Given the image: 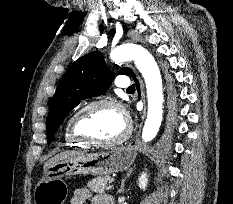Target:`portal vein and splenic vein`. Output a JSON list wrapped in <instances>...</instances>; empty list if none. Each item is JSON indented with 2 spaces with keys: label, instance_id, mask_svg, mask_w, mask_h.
Returning a JSON list of instances; mask_svg holds the SVG:
<instances>
[{
  "label": "portal vein and splenic vein",
  "instance_id": "obj_1",
  "mask_svg": "<svg viewBox=\"0 0 233 204\" xmlns=\"http://www.w3.org/2000/svg\"><path fill=\"white\" fill-rule=\"evenodd\" d=\"M113 186L111 185V186H109V189H111Z\"/></svg>",
  "mask_w": 233,
  "mask_h": 204
}]
</instances>
